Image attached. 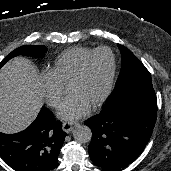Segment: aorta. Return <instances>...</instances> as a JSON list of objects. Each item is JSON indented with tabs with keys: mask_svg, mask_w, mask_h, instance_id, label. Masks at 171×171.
Returning a JSON list of instances; mask_svg holds the SVG:
<instances>
[{
	"mask_svg": "<svg viewBox=\"0 0 171 171\" xmlns=\"http://www.w3.org/2000/svg\"><path fill=\"white\" fill-rule=\"evenodd\" d=\"M73 137L78 143H88L91 140L92 131L86 125H77L73 130Z\"/></svg>",
	"mask_w": 171,
	"mask_h": 171,
	"instance_id": "obj_1",
	"label": "aorta"
}]
</instances>
